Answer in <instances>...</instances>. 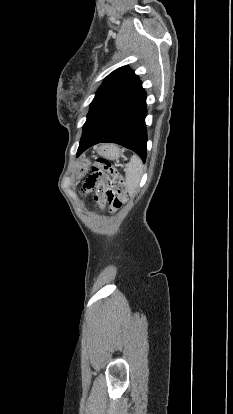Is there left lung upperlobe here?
Returning <instances> with one entry per match:
<instances>
[{
	"label": "left lung upper lobe",
	"mask_w": 233,
	"mask_h": 414,
	"mask_svg": "<svg viewBox=\"0 0 233 414\" xmlns=\"http://www.w3.org/2000/svg\"><path fill=\"white\" fill-rule=\"evenodd\" d=\"M137 81H139L138 76L129 67L118 68L106 77L93 101L124 90Z\"/></svg>",
	"instance_id": "1"
}]
</instances>
